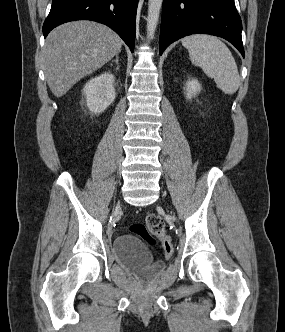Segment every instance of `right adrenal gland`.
I'll return each instance as SVG.
<instances>
[{
	"instance_id": "obj_1",
	"label": "right adrenal gland",
	"mask_w": 285,
	"mask_h": 332,
	"mask_svg": "<svg viewBox=\"0 0 285 332\" xmlns=\"http://www.w3.org/2000/svg\"><path fill=\"white\" fill-rule=\"evenodd\" d=\"M113 62H115L117 65H119V56L118 55H116V59L113 60Z\"/></svg>"
}]
</instances>
